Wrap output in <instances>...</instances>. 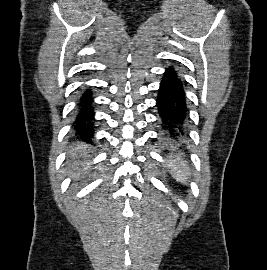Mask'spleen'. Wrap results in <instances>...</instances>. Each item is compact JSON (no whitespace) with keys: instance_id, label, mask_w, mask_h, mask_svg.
<instances>
[{"instance_id":"obj_1","label":"spleen","mask_w":267,"mask_h":270,"mask_svg":"<svg viewBox=\"0 0 267 270\" xmlns=\"http://www.w3.org/2000/svg\"><path fill=\"white\" fill-rule=\"evenodd\" d=\"M171 170L173 177L181 181L182 183H187L188 175L186 171L185 164L179 157H175L171 162Z\"/></svg>"}]
</instances>
